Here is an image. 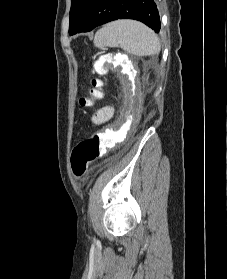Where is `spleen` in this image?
Masks as SVG:
<instances>
[{
	"label": "spleen",
	"mask_w": 227,
	"mask_h": 279,
	"mask_svg": "<svg viewBox=\"0 0 227 279\" xmlns=\"http://www.w3.org/2000/svg\"><path fill=\"white\" fill-rule=\"evenodd\" d=\"M96 47H121L137 56L156 55L161 50L158 36L146 25L133 20L108 23L97 31Z\"/></svg>",
	"instance_id": "obj_1"
}]
</instances>
